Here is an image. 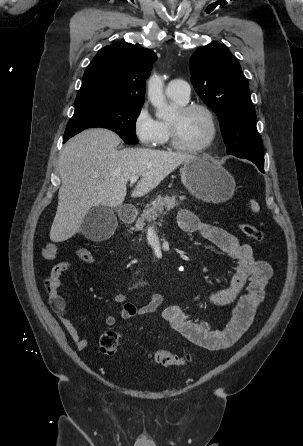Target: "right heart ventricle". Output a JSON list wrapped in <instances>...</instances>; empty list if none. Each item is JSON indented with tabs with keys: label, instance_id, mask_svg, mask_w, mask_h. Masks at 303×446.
<instances>
[{
	"label": "right heart ventricle",
	"instance_id": "1",
	"mask_svg": "<svg viewBox=\"0 0 303 446\" xmlns=\"http://www.w3.org/2000/svg\"><path fill=\"white\" fill-rule=\"evenodd\" d=\"M170 97H171V99L173 100V102H174L176 105H178V106H182V105H184V104L187 103V101L182 100V99H180V98L173 97V96H170ZM159 124H160V127H161L162 135H161V139H160V141H159L158 144H159V145H163V144H165V143L168 141V139H169L168 124H167V121H164V120L159 121Z\"/></svg>",
	"mask_w": 303,
	"mask_h": 446
}]
</instances>
